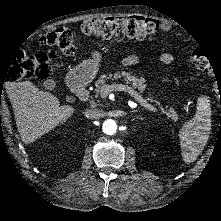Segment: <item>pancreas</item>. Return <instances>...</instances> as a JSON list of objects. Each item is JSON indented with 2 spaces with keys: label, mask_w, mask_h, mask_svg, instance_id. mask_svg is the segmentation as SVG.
<instances>
[{
  "label": "pancreas",
  "mask_w": 221,
  "mask_h": 221,
  "mask_svg": "<svg viewBox=\"0 0 221 221\" xmlns=\"http://www.w3.org/2000/svg\"><path fill=\"white\" fill-rule=\"evenodd\" d=\"M124 80L128 83H132L136 93L142 98V100L148 103H153L160 110L164 109L165 114L169 117L176 114V107L172 104L168 105L167 99L161 95L160 91L153 88H145L143 84L145 79L134 76V74L131 72L125 74V72L122 70H115L97 79H89L87 84L88 87L92 89H103L112 82H122ZM112 86H115V84Z\"/></svg>",
  "instance_id": "cf45deb5"
}]
</instances>
